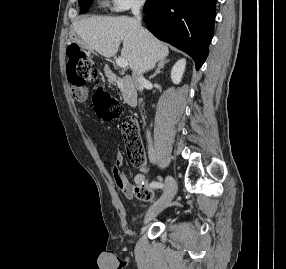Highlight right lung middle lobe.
<instances>
[{
	"label": "right lung middle lobe",
	"mask_w": 286,
	"mask_h": 269,
	"mask_svg": "<svg viewBox=\"0 0 286 269\" xmlns=\"http://www.w3.org/2000/svg\"><path fill=\"white\" fill-rule=\"evenodd\" d=\"M158 0H147L145 9L153 7ZM92 0H79V5L81 8V13H85L89 9V5L91 4Z\"/></svg>",
	"instance_id": "right-lung-middle-lobe-1"
}]
</instances>
